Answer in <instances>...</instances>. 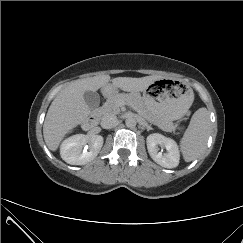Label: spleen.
<instances>
[{"instance_id": "3e777b00", "label": "spleen", "mask_w": 243, "mask_h": 243, "mask_svg": "<svg viewBox=\"0 0 243 243\" xmlns=\"http://www.w3.org/2000/svg\"><path fill=\"white\" fill-rule=\"evenodd\" d=\"M211 122L206 108L198 109L192 116L190 124L180 140V150L186 162L199 157L207 146Z\"/></svg>"}]
</instances>
